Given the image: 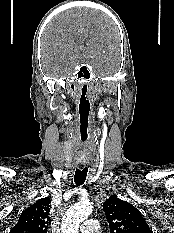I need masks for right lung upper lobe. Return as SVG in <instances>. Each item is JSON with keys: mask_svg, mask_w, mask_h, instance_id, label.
Here are the masks:
<instances>
[{"mask_svg": "<svg viewBox=\"0 0 174 233\" xmlns=\"http://www.w3.org/2000/svg\"><path fill=\"white\" fill-rule=\"evenodd\" d=\"M50 199L42 198L25 209L10 233H47Z\"/></svg>", "mask_w": 174, "mask_h": 233, "instance_id": "obj_1", "label": "right lung upper lobe"}]
</instances>
